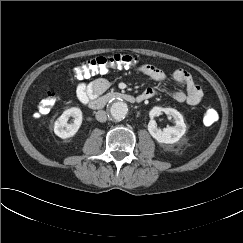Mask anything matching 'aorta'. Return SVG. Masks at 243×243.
I'll return each instance as SVG.
<instances>
[{
	"mask_svg": "<svg viewBox=\"0 0 243 243\" xmlns=\"http://www.w3.org/2000/svg\"><path fill=\"white\" fill-rule=\"evenodd\" d=\"M128 113V106L123 100H115L110 105V114L115 120H122Z\"/></svg>",
	"mask_w": 243,
	"mask_h": 243,
	"instance_id": "1",
	"label": "aorta"
}]
</instances>
